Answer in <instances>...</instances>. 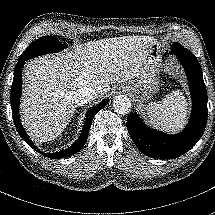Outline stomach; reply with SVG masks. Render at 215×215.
Wrapping results in <instances>:
<instances>
[{
  "instance_id": "1",
  "label": "stomach",
  "mask_w": 215,
  "mask_h": 215,
  "mask_svg": "<svg viewBox=\"0 0 215 215\" xmlns=\"http://www.w3.org/2000/svg\"><path fill=\"white\" fill-rule=\"evenodd\" d=\"M162 46L156 44L152 47L151 52L139 68L140 80L123 82L118 91H128L136 94V98L140 101L148 99L158 88L159 76V56ZM131 95V94H130ZM132 97V96H131Z\"/></svg>"
}]
</instances>
